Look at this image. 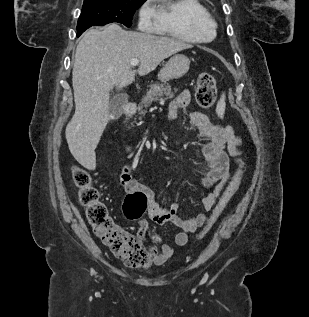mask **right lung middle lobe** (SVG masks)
<instances>
[{
	"mask_svg": "<svg viewBox=\"0 0 309 317\" xmlns=\"http://www.w3.org/2000/svg\"><path fill=\"white\" fill-rule=\"evenodd\" d=\"M146 0H84L77 32L112 22L132 25L133 14Z\"/></svg>",
	"mask_w": 309,
	"mask_h": 317,
	"instance_id": "dd1d6c3e",
	"label": "right lung middle lobe"
}]
</instances>
